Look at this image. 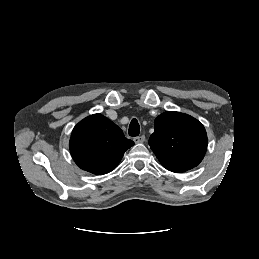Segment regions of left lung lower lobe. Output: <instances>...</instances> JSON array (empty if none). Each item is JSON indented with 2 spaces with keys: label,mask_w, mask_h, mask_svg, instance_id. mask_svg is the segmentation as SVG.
I'll list each match as a JSON object with an SVG mask.
<instances>
[{
  "label": "left lung lower lobe",
  "mask_w": 259,
  "mask_h": 259,
  "mask_svg": "<svg viewBox=\"0 0 259 259\" xmlns=\"http://www.w3.org/2000/svg\"><path fill=\"white\" fill-rule=\"evenodd\" d=\"M167 170L169 171H172V172H175V173H181V172H184V171H187L189 169H186V168H181V167H165Z\"/></svg>",
  "instance_id": "0a47b994"
}]
</instances>
